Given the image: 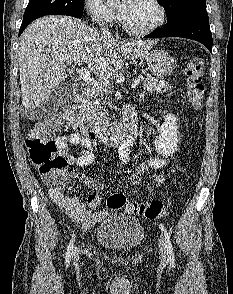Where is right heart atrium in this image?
I'll use <instances>...</instances> for the list:
<instances>
[{
  "mask_svg": "<svg viewBox=\"0 0 233 294\" xmlns=\"http://www.w3.org/2000/svg\"><path fill=\"white\" fill-rule=\"evenodd\" d=\"M84 8L90 19L100 25H112L118 20L117 12L104 0H85Z\"/></svg>",
  "mask_w": 233,
  "mask_h": 294,
  "instance_id": "d8ad5b80",
  "label": "right heart atrium"
}]
</instances>
